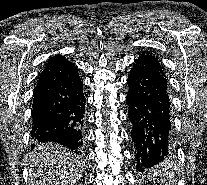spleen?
Segmentation results:
<instances>
[{"mask_svg": "<svg viewBox=\"0 0 207 185\" xmlns=\"http://www.w3.org/2000/svg\"><path fill=\"white\" fill-rule=\"evenodd\" d=\"M157 171H162V166H157ZM148 179H175V174H148Z\"/></svg>", "mask_w": 207, "mask_h": 185, "instance_id": "1", "label": "spleen"}]
</instances>
